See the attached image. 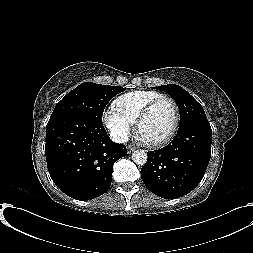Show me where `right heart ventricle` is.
<instances>
[{"label":"right heart ventricle","mask_w":253,"mask_h":253,"mask_svg":"<svg viewBox=\"0 0 253 253\" xmlns=\"http://www.w3.org/2000/svg\"><path fill=\"white\" fill-rule=\"evenodd\" d=\"M164 96L152 90H136L119 96L115 102V109L132 124L136 123L144 107L154 99Z\"/></svg>","instance_id":"e07e8e85"}]
</instances>
